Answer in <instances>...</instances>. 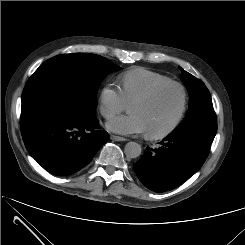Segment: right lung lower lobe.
I'll return each instance as SVG.
<instances>
[{
    "label": "right lung lower lobe",
    "instance_id": "98d812e1",
    "mask_svg": "<svg viewBox=\"0 0 245 245\" xmlns=\"http://www.w3.org/2000/svg\"><path fill=\"white\" fill-rule=\"evenodd\" d=\"M95 115L75 118L56 112L21 123V133L30 155L47 171L58 176L71 175L88 164L108 140L99 131Z\"/></svg>",
    "mask_w": 245,
    "mask_h": 245
}]
</instances>
